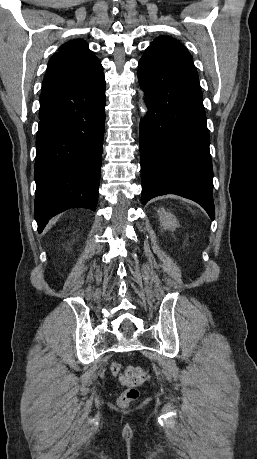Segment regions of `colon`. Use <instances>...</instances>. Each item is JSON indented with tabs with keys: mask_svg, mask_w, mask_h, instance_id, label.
<instances>
[{
	"mask_svg": "<svg viewBox=\"0 0 257 459\" xmlns=\"http://www.w3.org/2000/svg\"><path fill=\"white\" fill-rule=\"evenodd\" d=\"M113 376L118 378L127 388L118 398V405L126 407L139 397V391L136 388L147 379L146 371L139 366H128L124 371L121 364L113 362L110 366Z\"/></svg>",
	"mask_w": 257,
	"mask_h": 459,
	"instance_id": "obj_1",
	"label": "colon"
}]
</instances>
